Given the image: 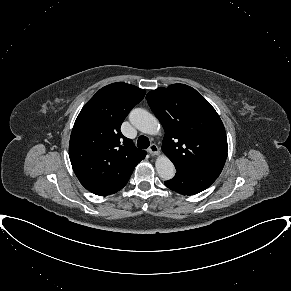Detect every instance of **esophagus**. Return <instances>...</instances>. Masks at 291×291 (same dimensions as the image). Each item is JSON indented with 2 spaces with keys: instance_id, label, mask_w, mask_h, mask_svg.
<instances>
[{
  "instance_id": "34e87169",
  "label": "esophagus",
  "mask_w": 291,
  "mask_h": 291,
  "mask_svg": "<svg viewBox=\"0 0 291 291\" xmlns=\"http://www.w3.org/2000/svg\"><path fill=\"white\" fill-rule=\"evenodd\" d=\"M148 152L152 156L158 155L160 153L159 148H158V146L156 144H151L149 149H148Z\"/></svg>"
}]
</instances>
